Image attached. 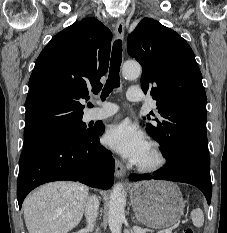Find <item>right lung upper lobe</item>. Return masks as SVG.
Instances as JSON below:
<instances>
[{"mask_svg":"<svg viewBox=\"0 0 227 233\" xmlns=\"http://www.w3.org/2000/svg\"><path fill=\"white\" fill-rule=\"evenodd\" d=\"M111 41V31L95 18L75 22L51 39L29 79L24 135L82 117L80 100L102 87Z\"/></svg>","mask_w":227,"mask_h":233,"instance_id":"cb5924a9","label":"right lung upper lobe"}]
</instances>
